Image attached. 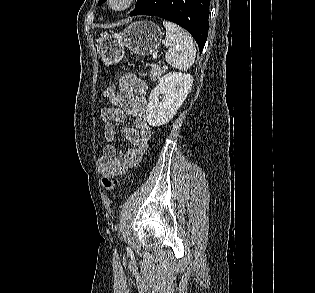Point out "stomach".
I'll list each match as a JSON object with an SVG mask.
<instances>
[{"label":"stomach","mask_w":315,"mask_h":293,"mask_svg":"<svg viewBox=\"0 0 315 293\" xmlns=\"http://www.w3.org/2000/svg\"><path fill=\"white\" fill-rule=\"evenodd\" d=\"M162 36L161 29L155 23L139 21L120 33H101L96 40V48L108 66L118 63L124 57L125 49L141 56L153 54L160 46Z\"/></svg>","instance_id":"stomach-1"}]
</instances>
